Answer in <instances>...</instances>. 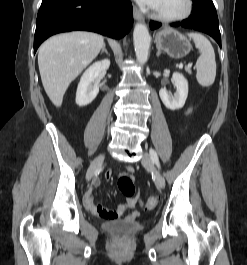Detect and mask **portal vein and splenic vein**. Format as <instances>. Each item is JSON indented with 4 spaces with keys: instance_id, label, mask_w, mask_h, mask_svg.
<instances>
[{
    "instance_id": "portal-vein-and-splenic-vein-1",
    "label": "portal vein and splenic vein",
    "mask_w": 247,
    "mask_h": 265,
    "mask_svg": "<svg viewBox=\"0 0 247 265\" xmlns=\"http://www.w3.org/2000/svg\"><path fill=\"white\" fill-rule=\"evenodd\" d=\"M191 66H192V64H188L187 68H190ZM182 67H183V65L180 64V65H179V68H182Z\"/></svg>"
}]
</instances>
